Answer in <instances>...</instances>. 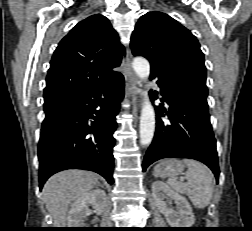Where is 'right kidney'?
Masks as SVG:
<instances>
[{"label":"right kidney","mask_w":252,"mask_h":231,"mask_svg":"<svg viewBox=\"0 0 252 231\" xmlns=\"http://www.w3.org/2000/svg\"><path fill=\"white\" fill-rule=\"evenodd\" d=\"M107 197L103 190L95 189L83 194L72 205L68 212L67 224L70 228H84L85 219L90 215L88 204H92L101 214L106 207Z\"/></svg>","instance_id":"ca27d5eb"}]
</instances>
